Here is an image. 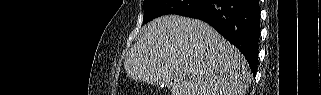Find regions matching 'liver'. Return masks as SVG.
I'll list each match as a JSON object with an SVG mask.
<instances>
[{
  "mask_svg": "<svg viewBox=\"0 0 321 95\" xmlns=\"http://www.w3.org/2000/svg\"><path fill=\"white\" fill-rule=\"evenodd\" d=\"M124 68L172 95H245L252 78L244 56L214 28L177 15L148 23L124 54Z\"/></svg>",
  "mask_w": 321,
  "mask_h": 95,
  "instance_id": "liver-1",
  "label": "liver"
}]
</instances>
